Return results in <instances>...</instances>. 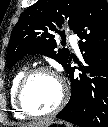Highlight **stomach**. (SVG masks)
<instances>
[{"label":"stomach","instance_id":"1","mask_svg":"<svg viewBox=\"0 0 108 127\" xmlns=\"http://www.w3.org/2000/svg\"><path fill=\"white\" fill-rule=\"evenodd\" d=\"M44 127H73L70 123L63 120H55Z\"/></svg>","mask_w":108,"mask_h":127}]
</instances>
